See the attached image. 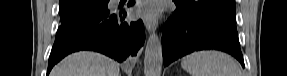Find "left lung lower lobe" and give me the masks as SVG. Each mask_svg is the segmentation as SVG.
I'll return each instance as SVG.
<instances>
[{
    "label": "left lung lower lobe",
    "mask_w": 287,
    "mask_h": 76,
    "mask_svg": "<svg viewBox=\"0 0 287 76\" xmlns=\"http://www.w3.org/2000/svg\"><path fill=\"white\" fill-rule=\"evenodd\" d=\"M162 36L164 66L193 51L216 49L231 54L244 67L237 31L198 11L176 4Z\"/></svg>",
    "instance_id": "obj_1"
}]
</instances>
